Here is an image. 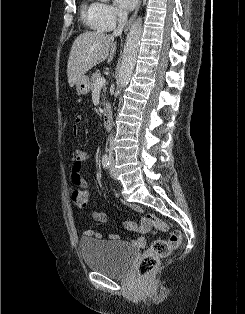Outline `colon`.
<instances>
[{
	"instance_id": "5ec220e1",
	"label": "colon",
	"mask_w": 245,
	"mask_h": 314,
	"mask_svg": "<svg viewBox=\"0 0 245 314\" xmlns=\"http://www.w3.org/2000/svg\"><path fill=\"white\" fill-rule=\"evenodd\" d=\"M72 200L79 207L87 206L89 191L87 189H75L72 192ZM143 224L145 227H154L161 231L167 230V224L149 212L143 215ZM181 242L182 234L179 231H173L168 240L153 241L138 263L139 275L145 276L152 272L158 266L159 261L168 257L173 250L181 245Z\"/></svg>"
}]
</instances>
